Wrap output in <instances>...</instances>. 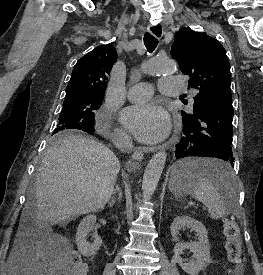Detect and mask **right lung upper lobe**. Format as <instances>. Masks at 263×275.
I'll use <instances>...</instances> for the list:
<instances>
[{
	"label": "right lung upper lobe",
	"mask_w": 263,
	"mask_h": 275,
	"mask_svg": "<svg viewBox=\"0 0 263 275\" xmlns=\"http://www.w3.org/2000/svg\"><path fill=\"white\" fill-rule=\"evenodd\" d=\"M117 59L112 44L100 45L78 60L66 87L65 98L79 95L103 96L108 76Z\"/></svg>",
	"instance_id": "right-lung-upper-lobe-1"
}]
</instances>
